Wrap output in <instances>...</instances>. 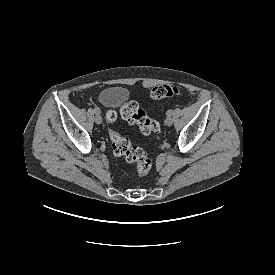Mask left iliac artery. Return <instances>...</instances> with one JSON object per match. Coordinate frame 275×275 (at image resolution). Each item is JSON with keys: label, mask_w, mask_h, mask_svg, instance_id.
Listing matches in <instances>:
<instances>
[{"label": "left iliac artery", "mask_w": 275, "mask_h": 275, "mask_svg": "<svg viewBox=\"0 0 275 275\" xmlns=\"http://www.w3.org/2000/svg\"><path fill=\"white\" fill-rule=\"evenodd\" d=\"M166 115H167V116L172 115V110H168V111L166 112Z\"/></svg>", "instance_id": "obj_1"}]
</instances>
